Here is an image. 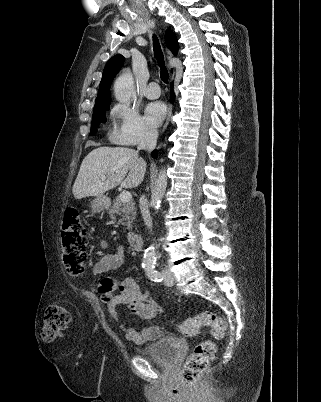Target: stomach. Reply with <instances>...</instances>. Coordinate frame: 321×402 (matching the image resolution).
Segmentation results:
<instances>
[{
  "label": "stomach",
  "instance_id": "obj_1",
  "mask_svg": "<svg viewBox=\"0 0 321 402\" xmlns=\"http://www.w3.org/2000/svg\"><path fill=\"white\" fill-rule=\"evenodd\" d=\"M109 204V199L104 196H96L91 202V209L93 213H98L104 210Z\"/></svg>",
  "mask_w": 321,
  "mask_h": 402
}]
</instances>
